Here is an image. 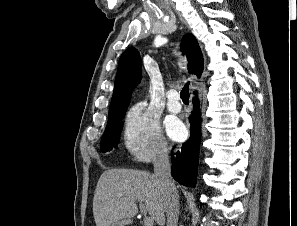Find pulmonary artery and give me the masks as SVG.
<instances>
[{
	"label": "pulmonary artery",
	"instance_id": "e3ab8cb5",
	"mask_svg": "<svg viewBox=\"0 0 297 226\" xmlns=\"http://www.w3.org/2000/svg\"><path fill=\"white\" fill-rule=\"evenodd\" d=\"M167 108L172 113H178L181 110V103L179 101V94L176 90H170L167 95Z\"/></svg>",
	"mask_w": 297,
	"mask_h": 226
}]
</instances>
